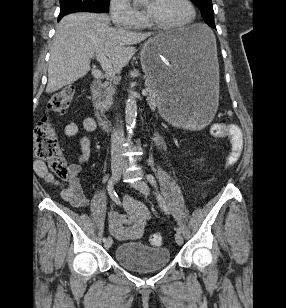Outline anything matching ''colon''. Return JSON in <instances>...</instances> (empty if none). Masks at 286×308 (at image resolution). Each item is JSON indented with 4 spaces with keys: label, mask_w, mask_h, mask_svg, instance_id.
<instances>
[{
    "label": "colon",
    "mask_w": 286,
    "mask_h": 308,
    "mask_svg": "<svg viewBox=\"0 0 286 308\" xmlns=\"http://www.w3.org/2000/svg\"><path fill=\"white\" fill-rule=\"evenodd\" d=\"M74 93L72 86L60 89L48 101L47 110L51 113H63L69 108ZM212 133L216 137L229 136V126L225 123H216L212 126ZM230 142L231 152L227 158L228 166L238 162L243 150L242 139H231ZM34 146L37 156L47 163L50 171L57 178L66 180L70 177L69 166L61 154L51 122L47 117L41 119L34 129ZM149 242L152 246H160L163 238L160 234L154 233L149 236Z\"/></svg>",
    "instance_id": "colon-1"
}]
</instances>
